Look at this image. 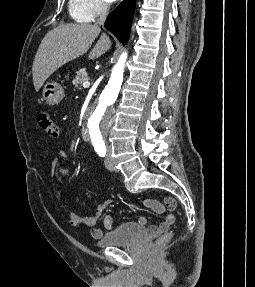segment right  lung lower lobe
I'll list each match as a JSON object with an SVG mask.
<instances>
[{"mask_svg": "<svg viewBox=\"0 0 255 287\" xmlns=\"http://www.w3.org/2000/svg\"><path fill=\"white\" fill-rule=\"evenodd\" d=\"M135 0H124L106 19L105 28L126 43L132 24Z\"/></svg>", "mask_w": 255, "mask_h": 287, "instance_id": "1", "label": "right lung lower lobe"}]
</instances>
